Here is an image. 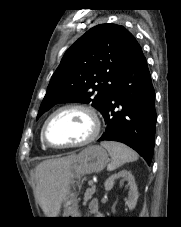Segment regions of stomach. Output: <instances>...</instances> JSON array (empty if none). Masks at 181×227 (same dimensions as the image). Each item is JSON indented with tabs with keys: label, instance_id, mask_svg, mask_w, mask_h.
Wrapping results in <instances>:
<instances>
[{
	"label": "stomach",
	"instance_id": "1",
	"mask_svg": "<svg viewBox=\"0 0 181 227\" xmlns=\"http://www.w3.org/2000/svg\"><path fill=\"white\" fill-rule=\"evenodd\" d=\"M108 162V153L103 147L91 145L83 149L71 166L70 188L74 189L83 175L103 170ZM76 215H78L76 193L74 190H69V194L64 201L62 217H78Z\"/></svg>",
	"mask_w": 181,
	"mask_h": 227
}]
</instances>
